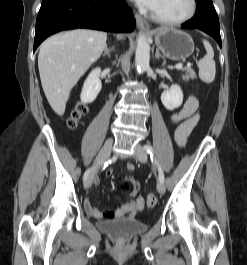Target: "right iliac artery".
Instances as JSON below:
<instances>
[{
    "label": "right iliac artery",
    "instance_id": "1",
    "mask_svg": "<svg viewBox=\"0 0 247 265\" xmlns=\"http://www.w3.org/2000/svg\"><path fill=\"white\" fill-rule=\"evenodd\" d=\"M92 169L93 168H90L84 173V177H83L84 182L86 181V179H87L88 175L90 174V172L92 171Z\"/></svg>",
    "mask_w": 247,
    "mask_h": 265
}]
</instances>
